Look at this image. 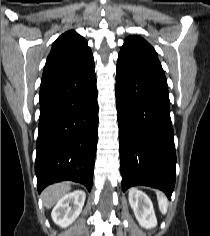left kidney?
I'll return each mask as SVG.
<instances>
[{"instance_id": "5707ae66", "label": "left kidney", "mask_w": 210, "mask_h": 236, "mask_svg": "<svg viewBox=\"0 0 210 236\" xmlns=\"http://www.w3.org/2000/svg\"><path fill=\"white\" fill-rule=\"evenodd\" d=\"M128 197L139 224L146 229L155 227L157 225V219L149 197L137 189H131Z\"/></svg>"}]
</instances>
